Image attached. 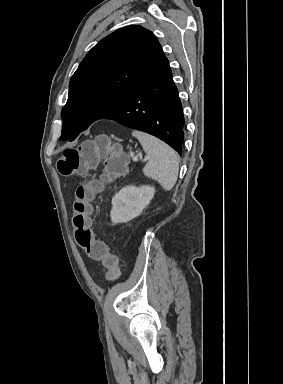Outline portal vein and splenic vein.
I'll list each match as a JSON object with an SVG mask.
<instances>
[{"label": "portal vein and splenic vein", "instance_id": "18ae733b", "mask_svg": "<svg viewBox=\"0 0 283 384\" xmlns=\"http://www.w3.org/2000/svg\"><path fill=\"white\" fill-rule=\"evenodd\" d=\"M133 162H137V158H132ZM145 160H149L148 156H146Z\"/></svg>", "mask_w": 283, "mask_h": 384}]
</instances>
